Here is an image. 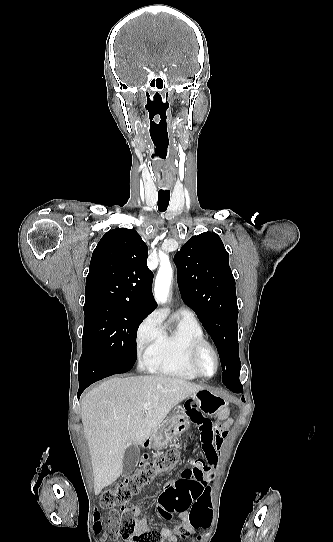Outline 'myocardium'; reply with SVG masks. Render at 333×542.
<instances>
[{"mask_svg":"<svg viewBox=\"0 0 333 542\" xmlns=\"http://www.w3.org/2000/svg\"><path fill=\"white\" fill-rule=\"evenodd\" d=\"M204 350H208L212 354L214 362H215V370L211 375L203 374L201 372L200 368H199L198 360H199V357H200L201 353ZM188 365H189L190 369L193 371V373L196 376L201 377V378L210 379V378L214 377L217 374V372L219 370V367H220V360H219L218 353H217L216 349L214 348V346L210 342H208L206 340H200V341H197V342L193 343L191 345L190 349H189V352H188Z\"/></svg>","mask_w":333,"mask_h":542,"instance_id":"1","label":"myocardium"}]
</instances>
